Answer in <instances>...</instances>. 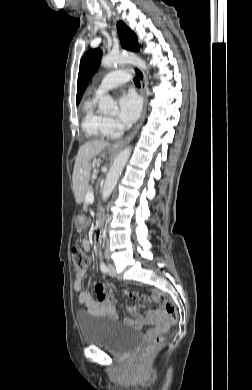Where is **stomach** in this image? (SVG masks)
I'll use <instances>...</instances> for the list:
<instances>
[{
	"label": "stomach",
	"mask_w": 252,
	"mask_h": 390,
	"mask_svg": "<svg viewBox=\"0 0 252 390\" xmlns=\"http://www.w3.org/2000/svg\"><path fill=\"white\" fill-rule=\"evenodd\" d=\"M77 222L79 226H84L85 225V217L80 215L77 217Z\"/></svg>",
	"instance_id": "stomach-1"
}]
</instances>
